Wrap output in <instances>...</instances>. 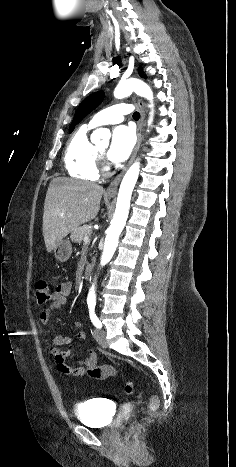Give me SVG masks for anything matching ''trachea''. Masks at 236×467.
I'll list each match as a JSON object with an SVG mask.
<instances>
[{"label":"trachea","instance_id":"trachea-1","mask_svg":"<svg viewBox=\"0 0 236 467\" xmlns=\"http://www.w3.org/2000/svg\"><path fill=\"white\" fill-rule=\"evenodd\" d=\"M133 118H134V120H139V118H140V114H139L137 111H136V112H134V114H133Z\"/></svg>","mask_w":236,"mask_h":467}]
</instances>
